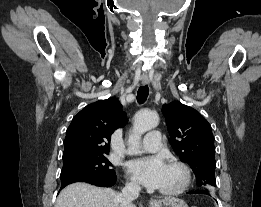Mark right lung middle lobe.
<instances>
[{
    "label": "right lung middle lobe",
    "mask_w": 261,
    "mask_h": 207,
    "mask_svg": "<svg viewBox=\"0 0 261 207\" xmlns=\"http://www.w3.org/2000/svg\"><path fill=\"white\" fill-rule=\"evenodd\" d=\"M106 155L81 156L63 161L61 181L79 176H115Z\"/></svg>",
    "instance_id": "right-lung-middle-lobe-1"
}]
</instances>
